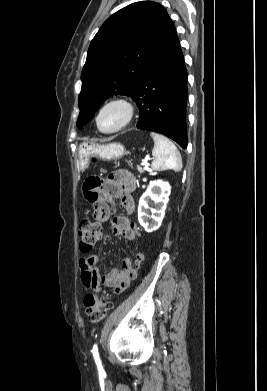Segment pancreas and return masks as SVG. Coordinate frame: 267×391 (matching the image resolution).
Wrapping results in <instances>:
<instances>
[{
	"mask_svg": "<svg viewBox=\"0 0 267 391\" xmlns=\"http://www.w3.org/2000/svg\"><path fill=\"white\" fill-rule=\"evenodd\" d=\"M137 169H138V171H139L140 173L144 172V169H143L142 167H140V166H138Z\"/></svg>",
	"mask_w": 267,
	"mask_h": 391,
	"instance_id": "cf45deb5",
	"label": "pancreas"
}]
</instances>
